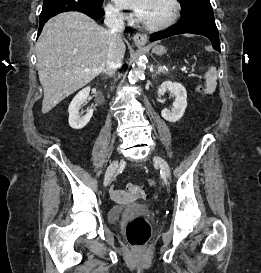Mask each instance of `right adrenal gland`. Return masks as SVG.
<instances>
[{
	"mask_svg": "<svg viewBox=\"0 0 261 273\" xmlns=\"http://www.w3.org/2000/svg\"><path fill=\"white\" fill-rule=\"evenodd\" d=\"M102 73L107 75L108 77H112L114 75V73L111 70H108V69H104L102 71Z\"/></svg>",
	"mask_w": 261,
	"mask_h": 273,
	"instance_id": "1",
	"label": "right adrenal gland"
}]
</instances>
